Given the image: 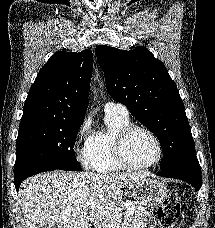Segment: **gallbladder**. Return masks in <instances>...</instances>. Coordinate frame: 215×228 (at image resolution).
I'll return each mask as SVG.
<instances>
[{"mask_svg":"<svg viewBox=\"0 0 215 228\" xmlns=\"http://www.w3.org/2000/svg\"><path fill=\"white\" fill-rule=\"evenodd\" d=\"M41 228H47V226H41Z\"/></svg>","mask_w":215,"mask_h":228,"instance_id":"bac80fb5","label":"gallbladder"}]
</instances>
